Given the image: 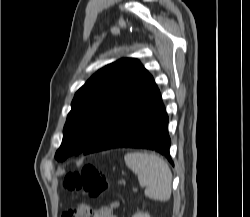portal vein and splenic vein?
Returning <instances> with one entry per match:
<instances>
[{
	"instance_id": "obj_1",
	"label": "portal vein and splenic vein",
	"mask_w": 250,
	"mask_h": 217,
	"mask_svg": "<svg viewBox=\"0 0 250 217\" xmlns=\"http://www.w3.org/2000/svg\"><path fill=\"white\" fill-rule=\"evenodd\" d=\"M134 191H137V188H134Z\"/></svg>"
}]
</instances>
